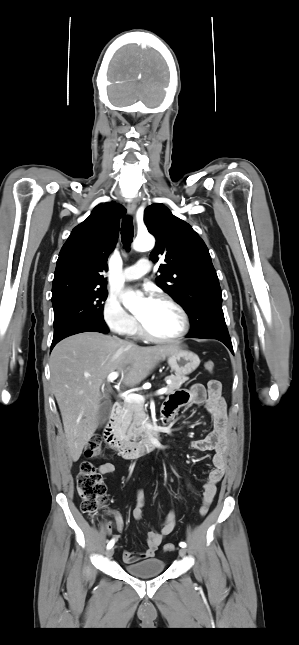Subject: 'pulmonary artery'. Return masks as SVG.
Listing matches in <instances>:
<instances>
[{
    "label": "pulmonary artery",
    "instance_id": "obj_1",
    "mask_svg": "<svg viewBox=\"0 0 299 645\" xmlns=\"http://www.w3.org/2000/svg\"><path fill=\"white\" fill-rule=\"evenodd\" d=\"M151 269V263L147 259H140L136 264L127 267L122 273L124 281H133L140 279Z\"/></svg>",
    "mask_w": 299,
    "mask_h": 645
}]
</instances>
